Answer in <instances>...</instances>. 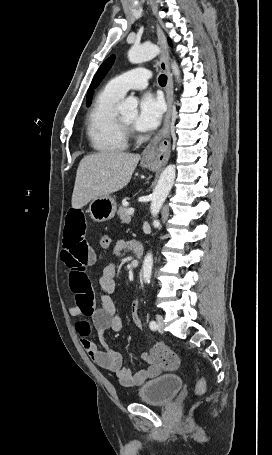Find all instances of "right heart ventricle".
Masks as SVG:
<instances>
[{
  "instance_id": "right-heart-ventricle-1",
  "label": "right heart ventricle",
  "mask_w": 272,
  "mask_h": 455,
  "mask_svg": "<svg viewBox=\"0 0 272 455\" xmlns=\"http://www.w3.org/2000/svg\"><path fill=\"white\" fill-rule=\"evenodd\" d=\"M121 96L107 87L96 96L86 117V134L90 146L97 152L112 154L127 149V139L118 121L116 105Z\"/></svg>"
}]
</instances>
